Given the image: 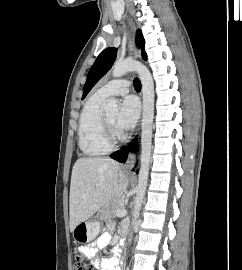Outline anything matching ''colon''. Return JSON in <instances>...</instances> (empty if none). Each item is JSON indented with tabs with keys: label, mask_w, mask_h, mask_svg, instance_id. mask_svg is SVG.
Returning a JSON list of instances; mask_svg holds the SVG:
<instances>
[{
	"label": "colon",
	"mask_w": 242,
	"mask_h": 270,
	"mask_svg": "<svg viewBox=\"0 0 242 270\" xmlns=\"http://www.w3.org/2000/svg\"><path fill=\"white\" fill-rule=\"evenodd\" d=\"M73 268L74 270H94L93 265L81 257L76 258Z\"/></svg>",
	"instance_id": "1"
}]
</instances>
